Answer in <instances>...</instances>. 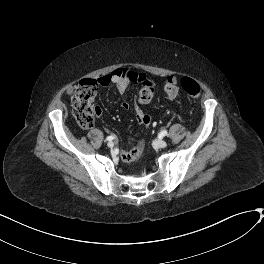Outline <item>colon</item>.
<instances>
[{
    "label": "colon",
    "instance_id": "1",
    "mask_svg": "<svg viewBox=\"0 0 264 264\" xmlns=\"http://www.w3.org/2000/svg\"><path fill=\"white\" fill-rule=\"evenodd\" d=\"M180 85L186 94L193 99H197L201 95V88L198 82L188 76L181 79ZM156 81L154 79H146L140 84L139 98L143 102L150 101L156 93ZM97 82L93 79H84L77 84L67 88V96L70 98L73 108V116L79 126L83 129L93 127L99 111L93 104L96 94ZM164 91L169 98L177 96L179 86L174 77H168L164 81ZM143 149V141L138 140L132 156L138 154Z\"/></svg>",
    "mask_w": 264,
    "mask_h": 264
}]
</instances>
